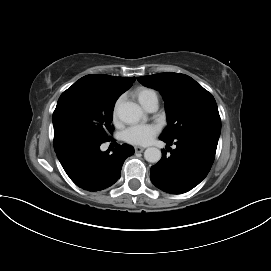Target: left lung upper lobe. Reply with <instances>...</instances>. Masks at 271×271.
I'll use <instances>...</instances> for the list:
<instances>
[{
	"label": "left lung upper lobe",
	"instance_id": "5c2ea615",
	"mask_svg": "<svg viewBox=\"0 0 271 271\" xmlns=\"http://www.w3.org/2000/svg\"><path fill=\"white\" fill-rule=\"evenodd\" d=\"M144 86L159 90L165 101L168 126L161 138L183 135L220 136L221 119L214 97L185 74L172 72L138 77Z\"/></svg>",
	"mask_w": 271,
	"mask_h": 271
}]
</instances>
